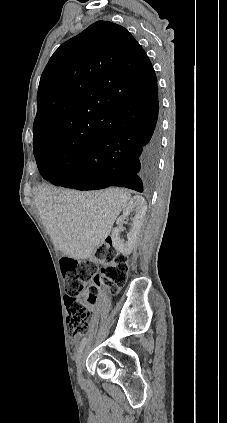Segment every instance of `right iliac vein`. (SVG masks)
Returning a JSON list of instances; mask_svg holds the SVG:
<instances>
[{
	"instance_id": "right-iliac-vein-1",
	"label": "right iliac vein",
	"mask_w": 227,
	"mask_h": 423,
	"mask_svg": "<svg viewBox=\"0 0 227 423\" xmlns=\"http://www.w3.org/2000/svg\"><path fill=\"white\" fill-rule=\"evenodd\" d=\"M77 373H78V379H81L82 378V357L80 358L78 366H77Z\"/></svg>"
}]
</instances>
